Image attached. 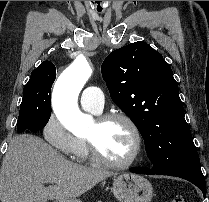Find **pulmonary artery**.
<instances>
[{
    "instance_id": "e3ab8cb5",
    "label": "pulmonary artery",
    "mask_w": 209,
    "mask_h": 202,
    "mask_svg": "<svg viewBox=\"0 0 209 202\" xmlns=\"http://www.w3.org/2000/svg\"><path fill=\"white\" fill-rule=\"evenodd\" d=\"M79 103L85 110L95 114L102 112L104 107L103 92L99 86H88L80 95Z\"/></svg>"
}]
</instances>
